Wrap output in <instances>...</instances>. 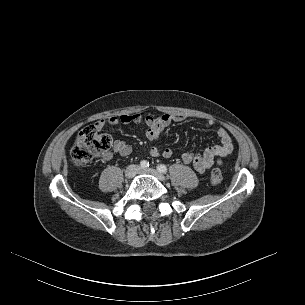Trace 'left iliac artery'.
Instances as JSON below:
<instances>
[{"label": "left iliac artery", "instance_id": "left-iliac-artery-1", "mask_svg": "<svg viewBox=\"0 0 305 305\" xmlns=\"http://www.w3.org/2000/svg\"><path fill=\"white\" fill-rule=\"evenodd\" d=\"M157 170L159 172L166 173L167 172V167L163 164H160V165L157 166Z\"/></svg>", "mask_w": 305, "mask_h": 305}]
</instances>
